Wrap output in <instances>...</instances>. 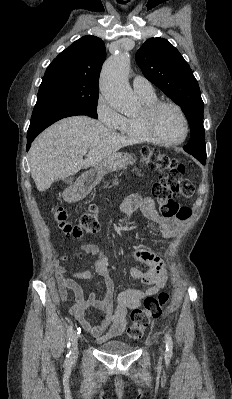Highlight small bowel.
I'll use <instances>...</instances> for the list:
<instances>
[{"label":"small bowel","mask_w":232,"mask_h":399,"mask_svg":"<svg viewBox=\"0 0 232 399\" xmlns=\"http://www.w3.org/2000/svg\"><path fill=\"white\" fill-rule=\"evenodd\" d=\"M123 207L126 211L140 209L145 215L151 217L156 214V201L153 198H144L140 193L129 194L124 200ZM175 233L173 227H165L163 236L174 237ZM84 249L94 261L95 269L102 279L101 295H92L85 299L79 285L66 276L65 269L59 264H55L54 277L60 297L70 304L69 314L77 319L79 328L91 333L96 344H104L114 341V338L127 327L130 308H139L145 298L155 296L165 287L167 266L149 251L132 248L125 252L123 254L125 258L146 263L152 269L150 273H144L133 267L128 280L137 284H150V286L120 292L117 295L118 309L115 314H112L111 305L115 297L116 280L107 265L110 247L98 249L93 244H85ZM89 309H95L101 313L100 321L96 326H91L85 316L86 310Z\"/></svg>","instance_id":"obj_1"}]
</instances>
